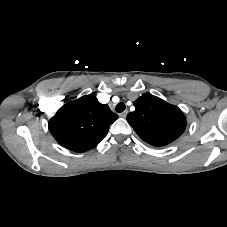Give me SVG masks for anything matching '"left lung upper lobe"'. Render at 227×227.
Wrapping results in <instances>:
<instances>
[{"mask_svg":"<svg viewBox=\"0 0 227 227\" xmlns=\"http://www.w3.org/2000/svg\"><path fill=\"white\" fill-rule=\"evenodd\" d=\"M134 106L135 111L127 115V121L139 137L151 145H167L186 128L183 112L159 97L143 94L134 102Z\"/></svg>","mask_w":227,"mask_h":227,"instance_id":"obj_1","label":"left lung upper lobe"}]
</instances>
